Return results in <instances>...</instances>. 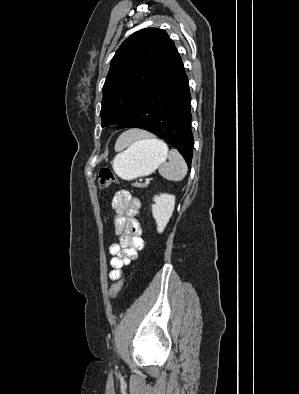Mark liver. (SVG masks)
<instances>
[{
  "label": "liver",
  "instance_id": "1",
  "mask_svg": "<svg viewBox=\"0 0 299 394\" xmlns=\"http://www.w3.org/2000/svg\"><path fill=\"white\" fill-rule=\"evenodd\" d=\"M147 136H149V134L147 132L142 131V130L133 129V130H130V131L124 133L123 139L126 142V144H128L134 140L141 139V138H144Z\"/></svg>",
  "mask_w": 299,
  "mask_h": 394
}]
</instances>
